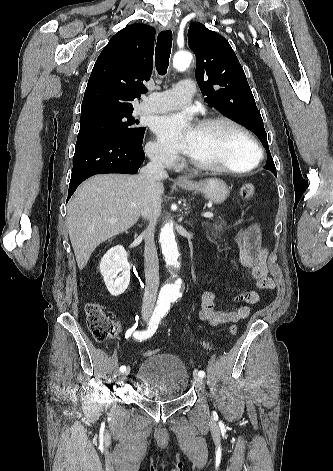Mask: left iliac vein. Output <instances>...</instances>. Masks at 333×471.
I'll return each instance as SVG.
<instances>
[{"instance_id": "obj_1", "label": "left iliac vein", "mask_w": 333, "mask_h": 471, "mask_svg": "<svg viewBox=\"0 0 333 471\" xmlns=\"http://www.w3.org/2000/svg\"><path fill=\"white\" fill-rule=\"evenodd\" d=\"M194 379L197 384H200V385L203 384L202 377H200L197 373H194Z\"/></svg>"}]
</instances>
